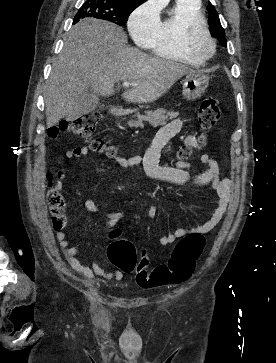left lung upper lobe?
<instances>
[{
	"instance_id": "obj_1",
	"label": "left lung upper lobe",
	"mask_w": 276,
	"mask_h": 363,
	"mask_svg": "<svg viewBox=\"0 0 276 363\" xmlns=\"http://www.w3.org/2000/svg\"><path fill=\"white\" fill-rule=\"evenodd\" d=\"M207 10L211 14V17L209 18V21H208L209 30H210L211 34L214 37H216L223 46H226L227 42L225 39V31L222 28L218 14H217L215 8L211 5V3L208 5Z\"/></svg>"
}]
</instances>
